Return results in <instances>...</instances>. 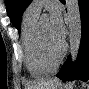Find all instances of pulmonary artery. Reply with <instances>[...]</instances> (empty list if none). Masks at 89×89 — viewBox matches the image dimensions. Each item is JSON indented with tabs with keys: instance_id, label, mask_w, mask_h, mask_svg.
Returning <instances> with one entry per match:
<instances>
[{
	"instance_id": "obj_1",
	"label": "pulmonary artery",
	"mask_w": 89,
	"mask_h": 89,
	"mask_svg": "<svg viewBox=\"0 0 89 89\" xmlns=\"http://www.w3.org/2000/svg\"><path fill=\"white\" fill-rule=\"evenodd\" d=\"M50 2L51 1L49 0H35L29 5L26 12L38 16L41 12L42 7L46 4H49Z\"/></svg>"
}]
</instances>
